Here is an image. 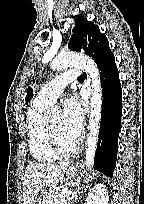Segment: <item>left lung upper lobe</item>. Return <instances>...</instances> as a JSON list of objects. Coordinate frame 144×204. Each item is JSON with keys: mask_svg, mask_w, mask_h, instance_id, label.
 <instances>
[{"mask_svg": "<svg viewBox=\"0 0 144 204\" xmlns=\"http://www.w3.org/2000/svg\"><path fill=\"white\" fill-rule=\"evenodd\" d=\"M69 49L86 53L96 61L98 66L114 57L109 48L107 37L100 32L97 25L88 21L82 15L76 17ZM32 95L33 91L29 88L25 100L30 101Z\"/></svg>", "mask_w": 144, "mask_h": 204, "instance_id": "obj_1", "label": "left lung upper lobe"}]
</instances>
